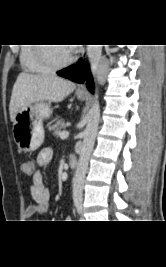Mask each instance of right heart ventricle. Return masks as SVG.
I'll return each instance as SVG.
<instances>
[{
	"label": "right heart ventricle",
	"instance_id": "obj_1",
	"mask_svg": "<svg viewBox=\"0 0 166 267\" xmlns=\"http://www.w3.org/2000/svg\"><path fill=\"white\" fill-rule=\"evenodd\" d=\"M35 44L22 46L19 59L23 69L33 73H47L52 69L40 61Z\"/></svg>",
	"mask_w": 166,
	"mask_h": 267
}]
</instances>
